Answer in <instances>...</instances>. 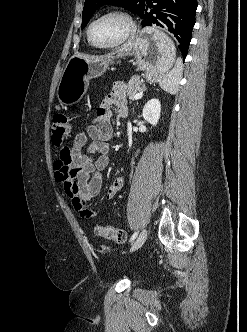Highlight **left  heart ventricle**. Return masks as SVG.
<instances>
[{"instance_id":"1","label":"left heart ventricle","mask_w":247,"mask_h":332,"mask_svg":"<svg viewBox=\"0 0 247 332\" xmlns=\"http://www.w3.org/2000/svg\"><path fill=\"white\" fill-rule=\"evenodd\" d=\"M126 29L127 23L124 19L117 16H107L94 23L91 29V37L97 44H111L119 40Z\"/></svg>"}]
</instances>
